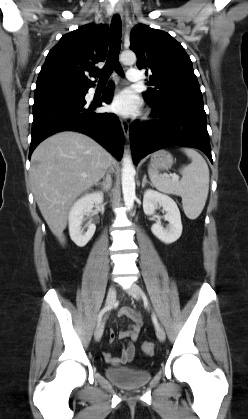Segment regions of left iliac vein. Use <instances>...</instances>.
Instances as JSON below:
<instances>
[{
	"instance_id": "4c4485c4",
	"label": "left iliac vein",
	"mask_w": 248,
	"mask_h": 419,
	"mask_svg": "<svg viewBox=\"0 0 248 419\" xmlns=\"http://www.w3.org/2000/svg\"><path fill=\"white\" fill-rule=\"evenodd\" d=\"M128 294H130L133 298L135 299H143L145 302H147V298L143 292V290L136 284H132L128 289H127ZM156 335L158 337V339L160 341H164L166 338L165 335V331L162 328V326L160 324H157L156 326Z\"/></svg>"
}]
</instances>
